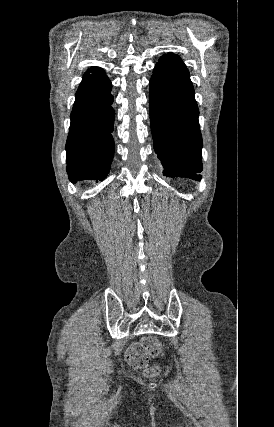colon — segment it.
Wrapping results in <instances>:
<instances>
[{
	"instance_id": "colon-1",
	"label": "colon",
	"mask_w": 274,
	"mask_h": 427,
	"mask_svg": "<svg viewBox=\"0 0 274 427\" xmlns=\"http://www.w3.org/2000/svg\"><path fill=\"white\" fill-rule=\"evenodd\" d=\"M161 352V345L156 339L146 338L131 344L126 349L124 359L131 368L144 370L149 367L150 360Z\"/></svg>"
}]
</instances>
